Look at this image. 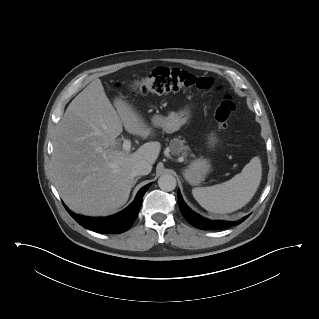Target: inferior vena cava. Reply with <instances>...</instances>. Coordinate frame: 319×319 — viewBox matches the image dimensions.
<instances>
[{"label": "inferior vena cava", "instance_id": "inferior-vena-cava-1", "mask_svg": "<svg viewBox=\"0 0 319 319\" xmlns=\"http://www.w3.org/2000/svg\"><path fill=\"white\" fill-rule=\"evenodd\" d=\"M152 166L147 161L139 160L131 165V172L133 175H147L151 172Z\"/></svg>", "mask_w": 319, "mask_h": 319}]
</instances>
